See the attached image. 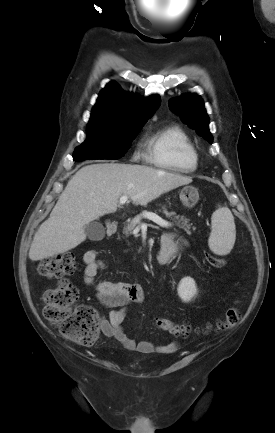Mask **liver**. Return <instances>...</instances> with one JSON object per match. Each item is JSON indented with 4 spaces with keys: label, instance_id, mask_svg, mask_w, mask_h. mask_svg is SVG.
<instances>
[{
    "label": "liver",
    "instance_id": "6515ba94",
    "mask_svg": "<svg viewBox=\"0 0 275 433\" xmlns=\"http://www.w3.org/2000/svg\"><path fill=\"white\" fill-rule=\"evenodd\" d=\"M192 182V178L145 165L92 164L68 182L50 217L35 233L29 258L38 261L63 254L86 239L85 226L114 213L121 196L147 205L160 195Z\"/></svg>",
    "mask_w": 275,
    "mask_h": 433
}]
</instances>
